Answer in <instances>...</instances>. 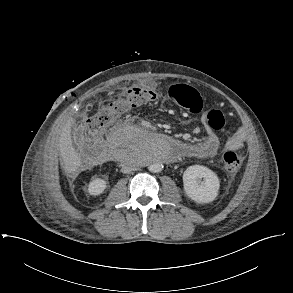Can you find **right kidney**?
I'll return each mask as SVG.
<instances>
[{
    "instance_id": "obj_1",
    "label": "right kidney",
    "mask_w": 293,
    "mask_h": 293,
    "mask_svg": "<svg viewBox=\"0 0 293 293\" xmlns=\"http://www.w3.org/2000/svg\"><path fill=\"white\" fill-rule=\"evenodd\" d=\"M107 182L101 178H95L88 184V192L90 195L98 196L104 192Z\"/></svg>"
}]
</instances>
